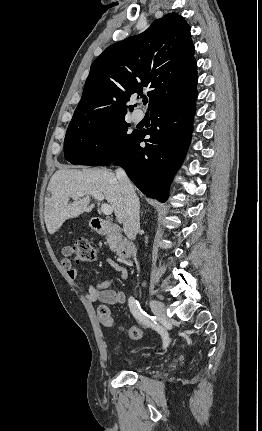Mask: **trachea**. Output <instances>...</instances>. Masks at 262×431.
I'll return each mask as SVG.
<instances>
[{
	"label": "trachea",
	"mask_w": 262,
	"mask_h": 431,
	"mask_svg": "<svg viewBox=\"0 0 262 431\" xmlns=\"http://www.w3.org/2000/svg\"><path fill=\"white\" fill-rule=\"evenodd\" d=\"M147 102H148V99H147V98H144V99H143V104H144V105H146V104H147Z\"/></svg>",
	"instance_id": "1"
}]
</instances>
